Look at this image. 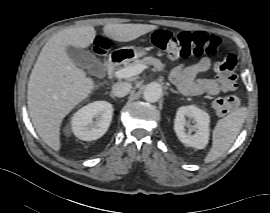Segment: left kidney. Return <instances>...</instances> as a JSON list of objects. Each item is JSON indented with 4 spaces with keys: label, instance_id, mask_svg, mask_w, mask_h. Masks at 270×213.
Instances as JSON below:
<instances>
[{
    "label": "left kidney",
    "instance_id": "obj_1",
    "mask_svg": "<svg viewBox=\"0 0 270 213\" xmlns=\"http://www.w3.org/2000/svg\"><path fill=\"white\" fill-rule=\"evenodd\" d=\"M186 117L195 122V134L191 135L185 132V127L188 126ZM209 114L200 108L192 105L182 106L176 112L174 121V130L178 139L190 147L203 149L209 141Z\"/></svg>",
    "mask_w": 270,
    "mask_h": 213
}]
</instances>
